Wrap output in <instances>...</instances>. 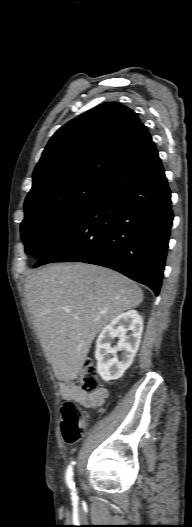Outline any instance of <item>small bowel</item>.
<instances>
[{
  "mask_svg": "<svg viewBox=\"0 0 192 527\" xmlns=\"http://www.w3.org/2000/svg\"><path fill=\"white\" fill-rule=\"evenodd\" d=\"M63 396L78 402L85 408H95L100 406L108 396V391L105 388H99L93 392H86L82 390L77 384L64 382Z\"/></svg>",
  "mask_w": 192,
  "mask_h": 527,
  "instance_id": "1",
  "label": "small bowel"
}]
</instances>
